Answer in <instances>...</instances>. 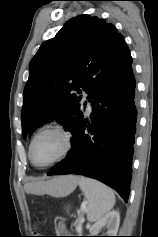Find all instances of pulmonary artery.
Returning a JSON list of instances; mask_svg holds the SVG:
<instances>
[{
	"mask_svg": "<svg viewBox=\"0 0 158 237\" xmlns=\"http://www.w3.org/2000/svg\"><path fill=\"white\" fill-rule=\"evenodd\" d=\"M87 108H88V111L91 110V105H90V103L87 104Z\"/></svg>",
	"mask_w": 158,
	"mask_h": 237,
	"instance_id": "obj_1",
	"label": "pulmonary artery"
}]
</instances>
